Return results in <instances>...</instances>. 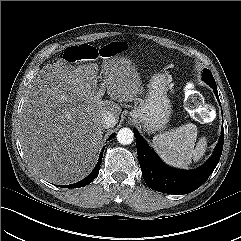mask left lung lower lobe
Instances as JSON below:
<instances>
[{"label":"left lung lower lobe","mask_w":241,"mask_h":241,"mask_svg":"<svg viewBox=\"0 0 241 241\" xmlns=\"http://www.w3.org/2000/svg\"><path fill=\"white\" fill-rule=\"evenodd\" d=\"M209 85L219 100L216 84ZM133 131L143 179L151 189L159 192L188 194L196 190L211 175L222 154L224 129H222L220 141L215 148L214 154L202 167L191 171L173 169L161 162L136 129Z\"/></svg>","instance_id":"obj_1"}]
</instances>
